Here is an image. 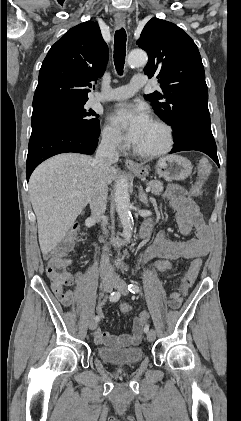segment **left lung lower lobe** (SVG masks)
<instances>
[{"label": "left lung lower lobe", "mask_w": 241, "mask_h": 421, "mask_svg": "<svg viewBox=\"0 0 241 421\" xmlns=\"http://www.w3.org/2000/svg\"><path fill=\"white\" fill-rule=\"evenodd\" d=\"M175 146L170 153L196 150L209 155L219 166L216 143L212 135L210 117L195 120L186 132L174 140Z\"/></svg>", "instance_id": "obj_1"}]
</instances>
